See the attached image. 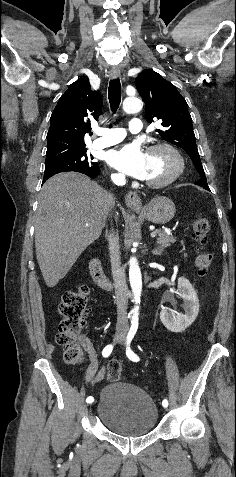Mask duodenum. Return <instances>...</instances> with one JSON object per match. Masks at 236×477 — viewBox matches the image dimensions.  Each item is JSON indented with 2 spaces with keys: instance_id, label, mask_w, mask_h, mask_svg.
<instances>
[{
  "instance_id": "1",
  "label": "duodenum",
  "mask_w": 236,
  "mask_h": 477,
  "mask_svg": "<svg viewBox=\"0 0 236 477\" xmlns=\"http://www.w3.org/2000/svg\"><path fill=\"white\" fill-rule=\"evenodd\" d=\"M89 271L94 281L103 288H111L112 283L103 270L97 258H93L89 263Z\"/></svg>"
}]
</instances>
